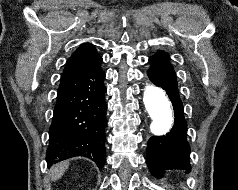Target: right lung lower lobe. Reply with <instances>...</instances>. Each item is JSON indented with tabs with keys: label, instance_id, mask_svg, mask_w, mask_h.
Here are the masks:
<instances>
[{
	"label": "right lung lower lobe",
	"instance_id": "98d812e1",
	"mask_svg": "<svg viewBox=\"0 0 238 190\" xmlns=\"http://www.w3.org/2000/svg\"><path fill=\"white\" fill-rule=\"evenodd\" d=\"M102 58L86 70L61 81L49 128V166L74 156L92 159L99 168L106 160L105 73Z\"/></svg>",
	"mask_w": 238,
	"mask_h": 190
}]
</instances>
